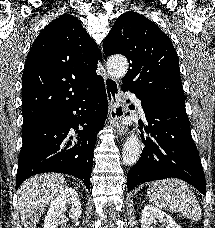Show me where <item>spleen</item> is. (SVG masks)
Segmentation results:
<instances>
[{"label":"spleen","instance_id":"obj_1","mask_svg":"<svg viewBox=\"0 0 215 228\" xmlns=\"http://www.w3.org/2000/svg\"><path fill=\"white\" fill-rule=\"evenodd\" d=\"M149 202L160 210L180 212L188 220H201L202 212L196 196L182 180H159L152 182L147 190Z\"/></svg>","mask_w":215,"mask_h":228}]
</instances>
